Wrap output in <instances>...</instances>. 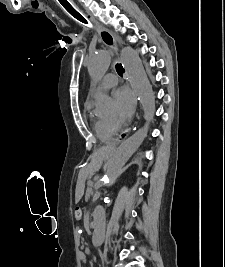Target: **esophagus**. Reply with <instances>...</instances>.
<instances>
[{"label":"esophagus","instance_id":"1","mask_svg":"<svg viewBox=\"0 0 225 267\" xmlns=\"http://www.w3.org/2000/svg\"><path fill=\"white\" fill-rule=\"evenodd\" d=\"M90 19H92V17H90ZM103 33H107L109 36L108 37H105V40L103 39V36L102 34ZM100 34H101V38L103 39L104 43L110 47V49L116 54L117 57H119V54H118V44L115 40V38L113 37V35L106 29H101L100 31ZM131 129L132 127L126 129L125 131H123L116 139L115 141L109 143L107 145V151L109 153H112L115 149H116V146L122 142L128 135L129 133L131 132Z\"/></svg>","mask_w":225,"mask_h":267}]
</instances>
